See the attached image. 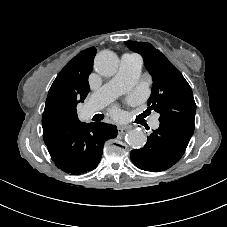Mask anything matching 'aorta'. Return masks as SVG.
I'll return each instance as SVG.
<instances>
[{"label":"aorta","instance_id":"obj_1","mask_svg":"<svg viewBox=\"0 0 227 227\" xmlns=\"http://www.w3.org/2000/svg\"><path fill=\"white\" fill-rule=\"evenodd\" d=\"M118 57L112 51L99 52L94 60V68L102 76H113L118 69ZM147 137L141 129L130 130L126 134V142L134 149H139L146 144Z\"/></svg>","mask_w":227,"mask_h":227}]
</instances>
